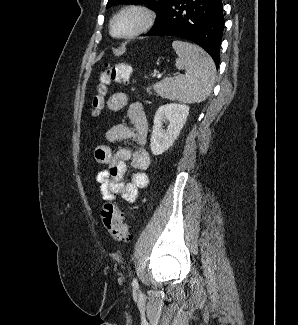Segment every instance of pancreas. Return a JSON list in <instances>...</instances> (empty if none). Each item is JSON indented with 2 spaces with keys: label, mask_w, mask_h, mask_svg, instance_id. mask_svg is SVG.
Returning a JSON list of instances; mask_svg holds the SVG:
<instances>
[{
  "label": "pancreas",
  "mask_w": 298,
  "mask_h": 325,
  "mask_svg": "<svg viewBox=\"0 0 298 325\" xmlns=\"http://www.w3.org/2000/svg\"><path fill=\"white\" fill-rule=\"evenodd\" d=\"M146 90H147V92H149V94H153L151 86H148V88H146Z\"/></svg>",
  "instance_id": "obj_1"
}]
</instances>
